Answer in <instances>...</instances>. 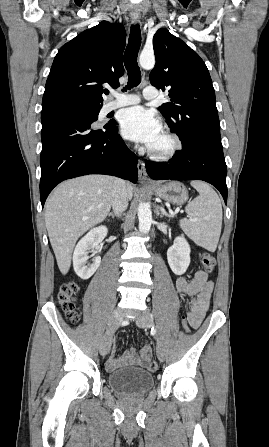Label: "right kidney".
I'll list each match as a JSON object with an SVG mask.
<instances>
[{"mask_svg":"<svg viewBox=\"0 0 269 447\" xmlns=\"http://www.w3.org/2000/svg\"><path fill=\"white\" fill-rule=\"evenodd\" d=\"M107 233L108 229L106 225H99V227L90 229V231L78 241L73 253V267L74 271H76L81 279H89V277L95 273L97 267H99L101 263L100 255H95L90 265H85V263L87 259H89V249L94 251V247L101 243Z\"/></svg>","mask_w":269,"mask_h":447,"instance_id":"1","label":"right kidney"}]
</instances>
